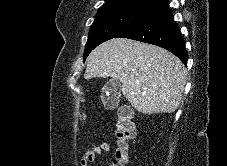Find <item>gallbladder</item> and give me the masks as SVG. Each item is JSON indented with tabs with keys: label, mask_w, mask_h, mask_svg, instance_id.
I'll list each match as a JSON object with an SVG mask.
<instances>
[{
	"label": "gallbladder",
	"mask_w": 227,
	"mask_h": 166,
	"mask_svg": "<svg viewBox=\"0 0 227 166\" xmlns=\"http://www.w3.org/2000/svg\"><path fill=\"white\" fill-rule=\"evenodd\" d=\"M122 84L119 80L112 78L108 80L102 88L101 99L104 107L114 108L121 96Z\"/></svg>",
	"instance_id": "bac80fb5"
}]
</instances>
